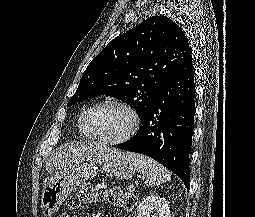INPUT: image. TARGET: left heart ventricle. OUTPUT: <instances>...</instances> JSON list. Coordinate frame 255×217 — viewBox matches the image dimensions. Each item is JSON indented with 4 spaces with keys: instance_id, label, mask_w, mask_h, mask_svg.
Listing matches in <instances>:
<instances>
[{
    "instance_id": "1",
    "label": "left heart ventricle",
    "mask_w": 255,
    "mask_h": 217,
    "mask_svg": "<svg viewBox=\"0 0 255 217\" xmlns=\"http://www.w3.org/2000/svg\"><path fill=\"white\" fill-rule=\"evenodd\" d=\"M130 125L128 113L116 105L105 104L94 108L88 116V126L97 136L115 139L126 132Z\"/></svg>"
}]
</instances>
